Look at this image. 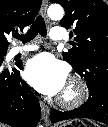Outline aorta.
Wrapping results in <instances>:
<instances>
[{"label": "aorta", "instance_id": "obj_1", "mask_svg": "<svg viewBox=\"0 0 108 127\" xmlns=\"http://www.w3.org/2000/svg\"><path fill=\"white\" fill-rule=\"evenodd\" d=\"M47 14L50 19L52 20H60L64 16V10L61 5L59 4H52L48 10Z\"/></svg>", "mask_w": 108, "mask_h": 127}]
</instances>
